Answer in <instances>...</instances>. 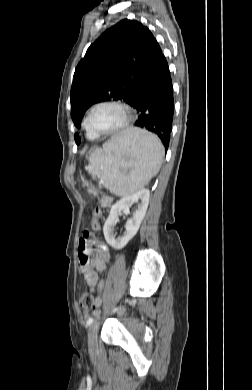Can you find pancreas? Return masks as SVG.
I'll use <instances>...</instances> for the list:
<instances>
[{
    "label": "pancreas",
    "instance_id": "cf45deb5",
    "mask_svg": "<svg viewBox=\"0 0 252 390\" xmlns=\"http://www.w3.org/2000/svg\"><path fill=\"white\" fill-rule=\"evenodd\" d=\"M111 202H108L106 200V197H103L101 200H100V204H101V207H104V208H107V207H110L111 206Z\"/></svg>",
    "mask_w": 252,
    "mask_h": 390
}]
</instances>
